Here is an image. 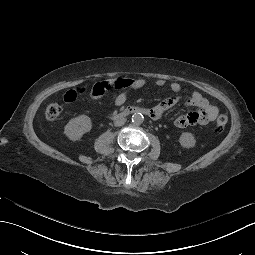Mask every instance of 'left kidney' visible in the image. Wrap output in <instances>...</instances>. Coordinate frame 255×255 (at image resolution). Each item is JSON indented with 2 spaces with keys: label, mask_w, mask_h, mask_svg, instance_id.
I'll list each match as a JSON object with an SVG mask.
<instances>
[{
  "label": "left kidney",
  "mask_w": 255,
  "mask_h": 255,
  "mask_svg": "<svg viewBox=\"0 0 255 255\" xmlns=\"http://www.w3.org/2000/svg\"><path fill=\"white\" fill-rule=\"evenodd\" d=\"M179 142L183 148L191 149L195 146L196 139L192 133L183 132L179 137Z\"/></svg>",
  "instance_id": "1"
}]
</instances>
